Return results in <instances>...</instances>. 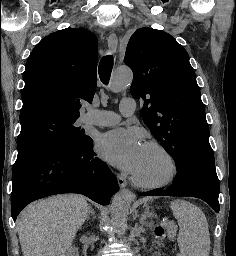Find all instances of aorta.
Wrapping results in <instances>:
<instances>
[{"mask_svg": "<svg viewBox=\"0 0 236 256\" xmlns=\"http://www.w3.org/2000/svg\"><path fill=\"white\" fill-rule=\"evenodd\" d=\"M132 80V71L127 67H120L115 71L111 79L110 89L115 93L121 92L132 83ZM134 197L131 191L123 189L115 194L112 199L111 218L114 226L120 232H124L127 227L129 209Z\"/></svg>", "mask_w": 236, "mask_h": 256, "instance_id": "aorta-1", "label": "aorta"}]
</instances>
